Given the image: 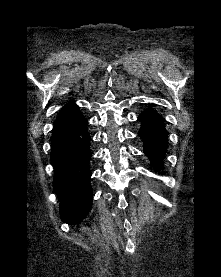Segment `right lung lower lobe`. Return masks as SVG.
<instances>
[{
    "label": "right lung lower lobe",
    "instance_id": "obj_1",
    "mask_svg": "<svg viewBox=\"0 0 221 277\" xmlns=\"http://www.w3.org/2000/svg\"><path fill=\"white\" fill-rule=\"evenodd\" d=\"M88 122L79 107L70 102L59 112L51 137L54 189L60 200L63 222L76 224L92 205Z\"/></svg>",
    "mask_w": 221,
    "mask_h": 277
}]
</instances>
